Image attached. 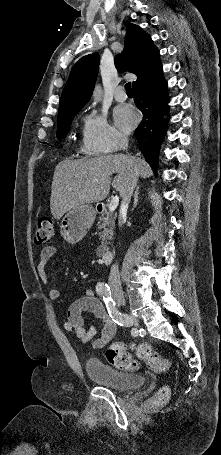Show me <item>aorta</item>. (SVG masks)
Wrapping results in <instances>:
<instances>
[{
	"label": "aorta",
	"instance_id": "1",
	"mask_svg": "<svg viewBox=\"0 0 221 455\" xmlns=\"http://www.w3.org/2000/svg\"><path fill=\"white\" fill-rule=\"evenodd\" d=\"M102 96V89L99 85H96L93 93V98L95 101H100Z\"/></svg>",
	"mask_w": 221,
	"mask_h": 455
}]
</instances>
